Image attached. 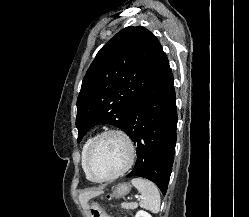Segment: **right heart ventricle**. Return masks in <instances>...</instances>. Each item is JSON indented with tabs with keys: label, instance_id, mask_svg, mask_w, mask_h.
Masks as SVG:
<instances>
[{
	"label": "right heart ventricle",
	"instance_id": "obj_1",
	"mask_svg": "<svg viewBox=\"0 0 249 217\" xmlns=\"http://www.w3.org/2000/svg\"><path fill=\"white\" fill-rule=\"evenodd\" d=\"M93 136H90L88 137L85 142L83 143V146H82V149H81V166H82V169L84 170L85 174H86V178L90 181H93L86 173V170H85V156H86V153H87V150L89 148V145L91 143V141L93 140Z\"/></svg>",
	"mask_w": 249,
	"mask_h": 217
}]
</instances>
